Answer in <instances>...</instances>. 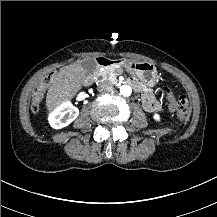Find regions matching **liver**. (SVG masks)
Instances as JSON below:
<instances>
[{
	"label": "liver",
	"mask_w": 217,
	"mask_h": 217,
	"mask_svg": "<svg viewBox=\"0 0 217 217\" xmlns=\"http://www.w3.org/2000/svg\"><path fill=\"white\" fill-rule=\"evenodd\" d=\"M85 78L86 70L82 67L81 61L61 68L59 73L51 78V86L46 96L48 110L52 111L63 101L72 98L81 88Z\"/></svg>",
	"instance_id": "obj_1"
}]
</instances>
